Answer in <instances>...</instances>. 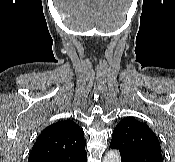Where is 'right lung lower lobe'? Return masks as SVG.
I'll list each match as a JSON object with an SVG mask.
<instances>
[{
	"mask_svg": "<svg viewBox=\"0 0 175 162\" xmlns=\"http://www.w3.org/2000/svg\"><path fill=\"white\" fill-rule=\"evenodd\" d=\"M87 160V154H85L84 156H82L81 158H78L77 160L74 161H67V160H54L52 162H86Z\"/></svg>",
	"mask_w": 175,
	"mask_h": 162,
	"instance_id": "obj_1",
	"label": "right lung lower lobe"
}]
</instances>
